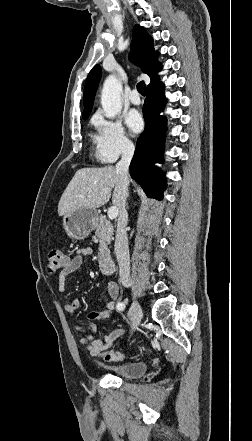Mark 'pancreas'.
Instances as JSON below:
<instances>
[{"label":"pancreas","mask_w":252,"mask_h":441,"mask_svg":"<svg viewBox=\"0 0 252 441\" xmlns=\"http://www.w3.org/2000/svg\"><path fill=\"white\" fill-rule=\"evenodd\" d=\"M95 228V236H97L99 241L98 260L102 262L105 258L110 257L108 245H110L114 235L113 224L105 216L101 215L97 220Z\"/></svg>","instance_id":"1"}]
</instances>
